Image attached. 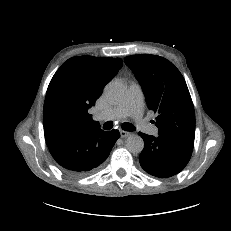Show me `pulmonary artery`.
Here are the masks:
<instances>
[{
    "label": "pulmonary artery",
    "mask_w": 231,
    "mask_h": 231,
    "mask_svg": "<svg viewBox=\"0 0 231 231\" xmlns=\"http://www.w3.org/2000/svg\"><path fill=\"white\" fill-rule=\"evenodd\" d=\"M144 96L142 87L138 82H131L126 100L118 107L96 115L98 120H120L132 117L136 120L143 132L157 135L158 128L147 123L143 118Z\"/></svg>",
    "instance_id": "pulmonary-artery-1"
}]
</instances>
